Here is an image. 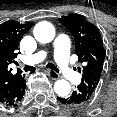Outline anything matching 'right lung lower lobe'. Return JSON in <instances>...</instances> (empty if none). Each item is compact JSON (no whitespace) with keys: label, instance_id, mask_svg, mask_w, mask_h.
<instances>
[{"label":"right lung lower lobe","instance_id":"1","mask_svg":"<svg viewBox=\"0 0 117 117\" xmlns=\"http://www.w3.org/2000/svg\"><path fill=\"white\" fill-rule=\"evenodd\" d=\"M26 84L24 78L17 80L10 88L8 94L0 100V104L5 106H17L25 94Z\"/></svg>","mask_w":117,"mask_h":117}]
</instances>
